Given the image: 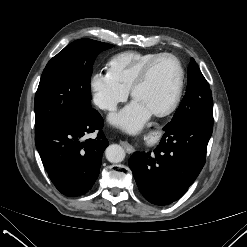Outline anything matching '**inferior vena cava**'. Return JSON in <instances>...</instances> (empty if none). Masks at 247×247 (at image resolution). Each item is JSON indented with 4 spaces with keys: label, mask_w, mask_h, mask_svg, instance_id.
I'll return each mask as SVG.
<instances>
[{
    "label": "inferior vena cava",
    "mask_w": 247,
    "mask_h": 247,
    "mask_svg": "<svg viewBox=\"0 0 247 247\" xmlns=\"http://www.w3.org/2000/svg\"><path fill=\"white\" fill-rule=\"evenodd\" d=\"M115 106H116L115 104H111V105H109V108H110V109H114Z\"/></svg>",
    "instance_id": "inferior-vena-cava-1"
}]
</instances>
